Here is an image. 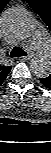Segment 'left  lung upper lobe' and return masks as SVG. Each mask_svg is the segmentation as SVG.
<instances>
[{
	"label": "left lung upper lobe",
	"mask_w": 51,
	"mask_h": 153,
	"mask_svg": "<svg viewBox=\"0 0 51 153\" xmlns=\"http://www.w3.org/2000/svg\"><path fill=\"white\" fill-rule=\"evenodd\" d=\"M27 2L51 30V0H27Z\"/></svg>",
	"instance_id": "left-lung-upper-lobe-1"
}]
</instances>
